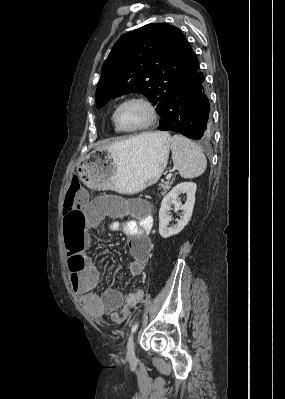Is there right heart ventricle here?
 Instances as JSON below:
<instances>
[{"label": "right heart ventricle", "instance_id": "e07e8e85", "mask_svg": "<svg viewBox=\"0 0 285 399\" xmlns=\"http://www.w3.org/2000/svg\"><path fill=\"white\" fill-rule=\"evenodd\" d=\"M112 120H113V122H114V118L112 117ZM115 124V123H114ZM115 130L116 131H120L118 128H117V126L115 125Z\"/></svg>", "mask_w": 285, "mask_h": 399}]
</instances>
